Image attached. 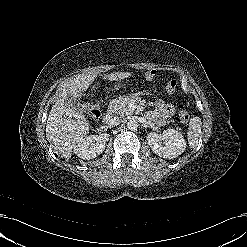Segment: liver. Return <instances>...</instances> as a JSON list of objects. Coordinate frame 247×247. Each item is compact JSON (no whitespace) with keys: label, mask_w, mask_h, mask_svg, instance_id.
Returning a JSON list of instances; mask_svg holds the SVG:
<instances>
[{"label":"liver","mask_w":247,"mask_h":247,"mask_svg":"<svg viewBox=\"0 0 247 247\" xmlns=\"http://www.w3.org/2000/svg\"><path fill=\"white\" fill-rule=\"evenodd\" d=\"M97 72L78 74L61 85L59 96L52 106L46 123V137L53 143V149L62 157H71L74 145L82 140L89 132V121L84 114L71 107L66 101L72 94L80 97L97 77ZM131 76L130 72H115L103 75L109 81L123 80Z\"/></svg>","instance_id":"obj_1"}]
</instances>
